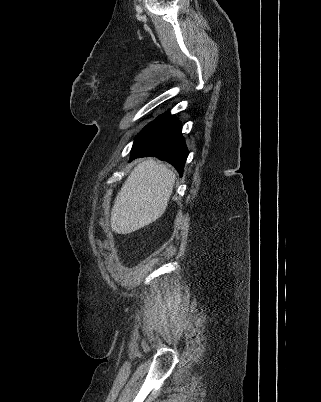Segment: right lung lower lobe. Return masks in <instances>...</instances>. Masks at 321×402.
Instances as JSON below:
<instances>
[{"label":"right lung lower lobe","mask_w":321,"mask_h":402,"mask_svg":"<svg viewBox=\"0 0 321 402\" xmlns=\"http://www.w3.org/2000/svg\"><path fill=\"white\" fill-rule=\"evenodd\" d=\"M181 131V124L169 112L158 116L136 136L130 160L157 157L172 164L182 175L188 151Z\"/></svg>","instance_id":"1"}]
</instances>
